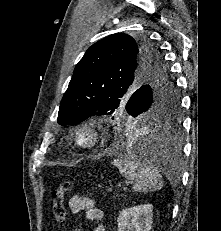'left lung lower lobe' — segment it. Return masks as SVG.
Segmentation results:
<instances>
[{
    "label": "left lung lower lobe",
    "mask_w": 221,
    "mask_h": 231,
    "mask_svg": "<svg viewBox=\"0 0 221 231\" xmlns=\"http://www.w3.org/2000/svg\"><path fill=\"white\" fill-rule=\"evenodd\" d=\"M135 104V103H134ZM136 108V107H135ZM147 125L149 123H146ZM170 133L166 136H161L156 131L162 129L164 125L150 122L149 127H139L121 133L118 137L120 145H133L137 150L143 151L146 155L144 160L162 168H169L168 164L173 162L180 153L181 145L178 140V129L180 120L165 124ZM160 133V130H158Z\"/></svg>",
    "instance_id": "obj_1"
}]
</instances>
